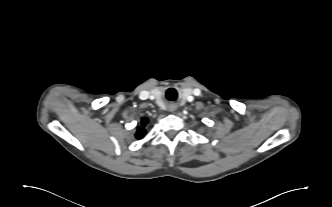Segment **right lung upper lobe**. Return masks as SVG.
<instances>
[{
	"label": "right lung upper lobe",
	"mask_w": 332,
	"mask_h": 207,
	"mask_svg": "<svg viewBox=\"0 0 332 207\" xmlns=\"http://www.w3.org/2000/svg\"><path fill=\"white\" fill-rule=\"evenodd\" d=\"M147 123H148V119L143 118L142 121H141L142 127L137 129V132H136V135H135L137 139H141L145 135L146 130L144 129V127Z\"/></svg>",
	"instance_id": "right-lung-upper-lobe-1"
}]
</instances>
